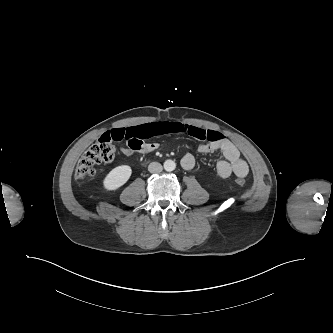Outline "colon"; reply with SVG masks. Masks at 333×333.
I'll list each match as a JSON object with an SVG mask.
<instances>
[{"mask_svg":"<svg viewBox=\"0 0 333 333\" xmlns=\"http://www.w3.org/2000/svg\"><path fill=\"white\" fill-rule=\"evenodd\" d=\"M115 149L111 140L106 137L99 138L81 156L75 171V177L79 181L92 177L96 172V167L100 164L109 163L114 159ZM239 186H244L245 181L236 179Z\"/></svg>","mask_w":333,"mask_h":333,"instance_id":"5ec220e1","label":"colon"}]
</instances>
